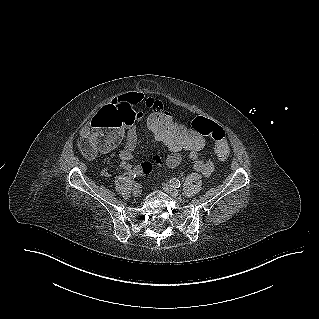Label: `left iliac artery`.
Segmentation results:
<instances>
[{"instance_id":"1","label":"left iliac artery","mask_w":319,"mask_h":319,"mask_svg":"<svg viewBox=\"0 0 319 319\" xmlns=\"http://www.w3.org/2000/svg\"><path fill=\"white\" fill-rule=\"evenodd\" d=\"M170 183H171L172 186L175 187V188L181 187V182H180L178 179H176V178L170 179Z\"/></svg>"}]
</instances>
